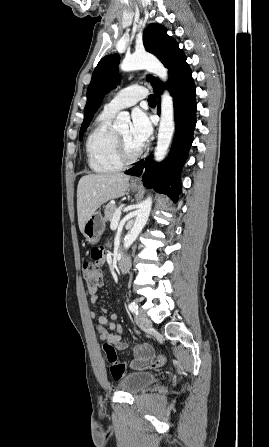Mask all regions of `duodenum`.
Wrapping results in <instances>:
<instances>
[{
    "mask_svg": "<svg viewBox=\"0 0 269 447\" xmlns=\"http://www.w3.org/2000/svg\"><path fill=\"white\" fill-rule=\"evenodd\" d=\"M130 266H131V260L128 256H124L119 261V270L121 273H126L129 270Z\"/></svg>",
    "mask_w": 269,
    "mask_h": 447,
    "instance_id": "1",
    "label": "duodenum"
}]
</instances>
